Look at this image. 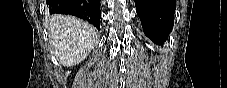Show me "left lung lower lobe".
Returning a JSON list of instances; mask_svg holds the SVG:
<instances>
[{
	"label": "left lung lower lobe",
	"instance_id": "0a47b994",
	"mask_svg": "<svg viewBox=\"0 0 227 88\" xmlns=\"http://www.w3.org/2000/svg\"><path fill=\"white\" fill-rule=\"evenodd\" d=\"M143 31L156 44H163L174 25L175 0H134Z\"/></svg>",
	"mask_w": 227,
	"mask_h": 88
}]
</instances>
